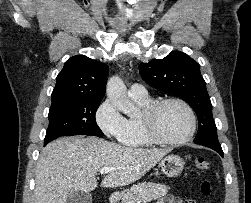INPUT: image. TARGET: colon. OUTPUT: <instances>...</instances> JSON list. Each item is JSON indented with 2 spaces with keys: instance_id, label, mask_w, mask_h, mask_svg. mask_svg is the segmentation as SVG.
<instances>
[{
  "instance_id": "obj_1",
  "label": "colon",
  "mask_w": 251,
  "mask_h": 203,
  "mask_svg": "<svg viewBox=\"0 0 251 203\" xmlns=\"http://www.w3.org/2000/svg\"><path fill=\"white\" fill-rule=\"evenodd\" d=\"M195 167L198 171H207L210 168V161L205 157H197L195 159ZM201 191L203 194L208 195L211 192V184L209 181H204L201 184Z\"/></svg>"
}]
</instances>
